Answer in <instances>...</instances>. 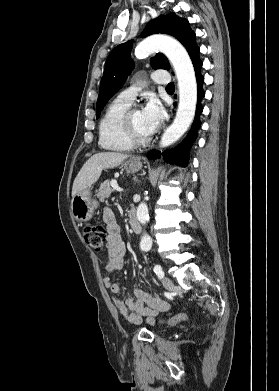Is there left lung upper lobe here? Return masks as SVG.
<instances>
[{
	"instance_id": "5c2ea615",
	"label": "left lung upper lobe",
	"mask_w": 279,
	"mask_h": 391,
	"mask_svg": "<svg viewBox=\"0 0 279 391\" xmlns=\"http://www.w3.org/2000/svg\"><path fill=\"white\" fill-rule=\"evenodd\" d=\"M157 33L174 36L186 48L190 56L198 48L195 42L196 35L190 28L189 22L184 18L176 16L175 13H170L166 16L161 15L151 20L141 37ZM132 42L128 41L115 47L106 60L97 100V118L108 100L123 86L127 76L134 68L130 58ZM151 66L154 69L169 70L170 68L168 59L161 53H157L151 59Z\"/></svg>"
}]
</instances>
